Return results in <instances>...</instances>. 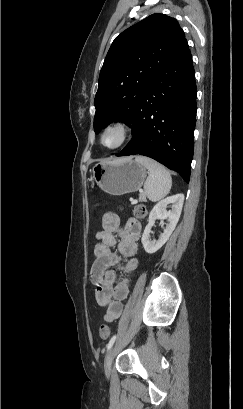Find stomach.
<instances>
[{"mask_svg":"<svg viewBox=\"0 0 243 409\" xmlns=\"http://www.w3.org/2000/svg\"><path fill=\"white\" fill-rule=\"evenodd\" d=\"M91 181L111 195H124L141 188L146 178V168L132 158L97 163L92 168Z\"/></svg>","mask_w":243,"mask_h":409,"instance_id":"1","label":"stomach"}]
</instances>
